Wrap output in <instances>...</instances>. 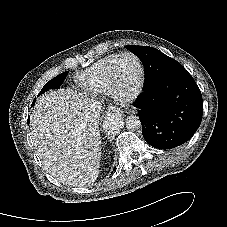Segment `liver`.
Wrapping results in <instances>:
<instances>
[{"instance_id":"obj_1","label":"liver","mask_w":227,"mask_h":227,"mask_svg":"<svg viewBox=\"0 0 227 227\" xmlns=\"http://www.w3.org/2000/svg\"><path fill=\"white\" fill-rule=\"evenodd\" d=\"M93 103L69 89L52 90L37 99L31 114V136L38 155L63 184L84 187L98 177L101 137Z\"/></svg>"}]
</instances>
